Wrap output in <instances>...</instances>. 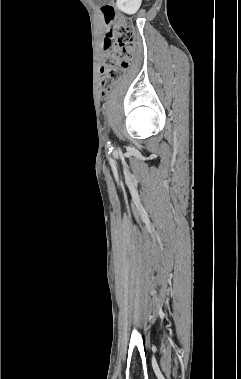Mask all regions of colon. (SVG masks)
I'll return each mask as SVG.
<instances>
[{
  "label": "colon",
  "mask_w": 241,
  "mask_h": 379,
  "mask_svg": "<svg viewBox=\"0 0 241 379\" xmlns=\"http://www.w3.org/2000/svg\"><path fill=\"white\" fill-rule=\"evenodd\" d=\"M101 11L110 24L104 41V48L107 51L106 58L101 67V91L104 94L114 87L116 80L131 65L135 45L134 28L122 21L114 5L105 4Z\"/></svg>",
  "instance_id": "5ec220e1"
}]
</instances>
